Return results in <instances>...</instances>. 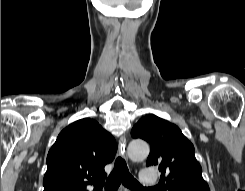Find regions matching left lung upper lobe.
<instances>
[{
    "instance_id": "5c2ea615",
    "label": "left lung upper lobe",
    "mask_w": 245,
    "mask_h": 191,
    "mask_svg": "<svg viewBox=\"0 0 245 191\" xmlns=\"http://www.w3.org/2000/svg\"><path fill=\"white\" fill-rule=\"evenodd\" d=\"M131 136L150 143L146 165L159 167L162 191H209L194 146L177 125L150 114L137 122Z\"/></svg>"
}]
</instances>
